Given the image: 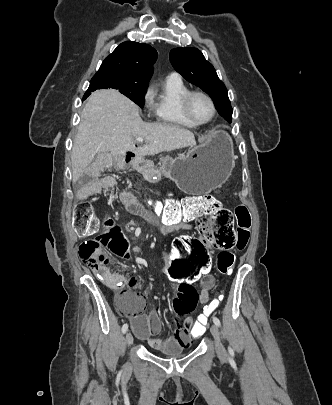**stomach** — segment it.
I'll return each instance as SVG.
<instances>
[{"label": "stomach", "mask_w": 332, "mask_h": 405, "mask_svg": "<svg viewBox=\"0 0 332 405\" xmlns=\"http://www.w3.org/2000/svg\"><path fill=\"white\" fill-rule=\"evenodd\" d=\"M233 145L223 131L206 144L194 147L186 156L160 157V170L187 194H205L220 188L234 168Z\"/></svg>", "instance_id": "stomach-1"}]
</instances>
